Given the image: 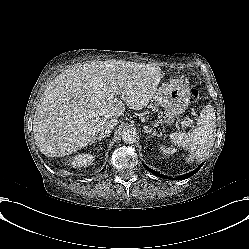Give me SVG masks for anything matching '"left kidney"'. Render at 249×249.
<instances>
[{"mask_svg":"<svg viewBox=\"0 0 249 249\" xmlns=\"http://www.w3.org/2000/svg\"><path fill=\"white\" fill-rule=\"evenodd\" d=\"M158 150H160L165 155H171L176 151L175 148L172 147L167 148L164 145H159Z\"/></svg>","mask_w":249,"mask_h":249,"instance_id":"left-kidney-1","label":"left kidney"}]
</instances>
